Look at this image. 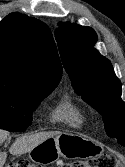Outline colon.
<instances>
[{
  "label": "colon",
  "mask_w": 125,
  "mask_h": 167,
  "mask_svg": "<svg viewBox=\"0 0 125 167\" xmlns=\"http://www.w3.org/2000/svg\"><path fill=\"white\" fill-rule=\"evenodd\" d=\"M6 167H36L28 160L19 159L7 164ZM55 167H120L119 160L112 154H101L98 157L71 162H58Z\"/></svg>",
  "instance_id": "1"
}]
</instances>
